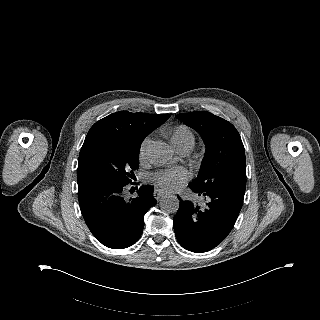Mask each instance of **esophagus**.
<instances>
[{"instance_id": "34e87169", "label": "esophagus", "mask_w": 320, "mask_h": 320, "mask_svg": "<svg viewBox=\"0 0 320 320\" xmlns=\"http://www.w3.org/2000/svg\"><path fill=\"white\" fill-rule=\"evenodd\" d=\"M153 194H154V198L158 200L160 197L166 194V192L162 189L156 188Z\"/></svg>"}]
</instances>
